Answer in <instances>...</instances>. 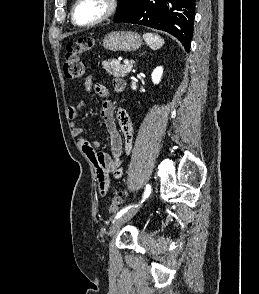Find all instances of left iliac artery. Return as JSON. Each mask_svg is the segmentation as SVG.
I'll return each mask as SVG.
<instances>
[{"mask_svg": "<svg viewBox=\"0 0 259 294\" xmlns=\"http://www.w3.org/2000/svg\"><path fill=\"white\" fill-rule=\"evenodd\" d=\"M150 193H151V186H150L149 184H147L146 187H145V191H144V195H143V198H142V200H141V203H143V202L145 201V199L149 197ZM136 206H137V204H134V205H129V206L123 208L120 212L117 213L115 219L121 217V216H122L124 213H126L130 208H132V207H136Z\"/></svg>", "mask_w": 259, "mask_h": 294, "instance_id": "left-iliac-artery-1", "label": "left iliac artery"}]
</instances>
